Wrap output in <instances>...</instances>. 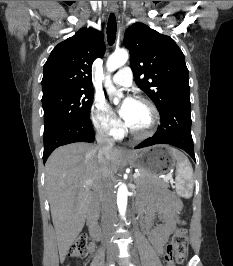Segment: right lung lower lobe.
Here are the masks:
<instances>
[{"mask_svg": "<svg viewBox=\"0 0 233 266\" xmlns=\"http://www.w3.org/2000/svg\"><path fill=\"white\" fill-rule=\"evenodd\" d=\"M94 140V129L90 119L56 126L44 132L43 162L45 163L52 151L59 146L74 142H93Z\"/></svg>", "mask_w": 233, "mask_h": 266, "instance_id": "1", "label": "right lung lower lobe"}]
</instances>
